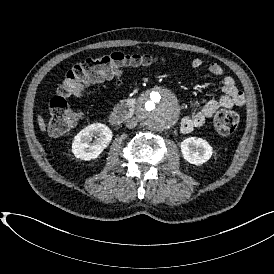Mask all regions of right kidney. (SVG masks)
<instances>
[{"mask_svg": "<svg viewBox=\"0 0 274 274\" xmlns=\"http://www.w3.org/2000/svg\"><path fill=\"white\" fill-rule=\"evenodd\" d=\"M112 137V131L107 125L102 123L90 124L74 137L72 153L81 160L96 159L108 147ZM93 138L94 141L92 142Z\"/></svg>", "mask_w": 274, "mask_h": 274, "instance_id": "1", "label": "right kidney"}]
</instances>
